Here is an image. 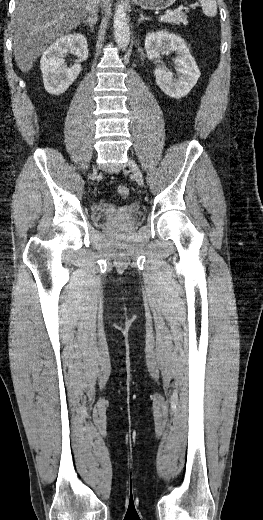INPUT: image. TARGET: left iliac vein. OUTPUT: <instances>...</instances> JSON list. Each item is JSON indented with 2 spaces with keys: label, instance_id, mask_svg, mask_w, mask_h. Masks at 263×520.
Returning <instances> with one entry per match:
<instances>
[{
  "label": "left iliac vein",
  "instance_id": "4c4485c4",
  "mask_svg": "<svg viewBox=\"0 0 263 520\" xmlns=\"http://www.w3.org/2000/svg\"><path fill=\"white\" fill-rule=\"evenodd\" d=\"M128 166H129L130 171L132 172L136 182L139 185H143V182H144L143 175H142L140 168L136 164V162L133 159H129Z\"/></svg>",
  "mask_w": 263,
  "mask_h": 520
}]
</instances>
